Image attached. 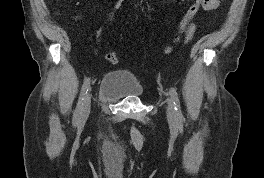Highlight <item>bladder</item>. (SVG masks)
<instances>
[{"label":"bladder","instance_id":"obj_1","mask_svg":"<svg viewBox=\"0 0 264 178\" xmlns=\"http://www.w3.org/2000/svg\"><path fill=\"white\" fill-rule=\"evenodd\" d=\"M144 91V86L138 77L126 69L107 73L99 86V95L111 100L139 99Z\"/></svg>","mask_w":264,"mask_h":178}]
</instances>
